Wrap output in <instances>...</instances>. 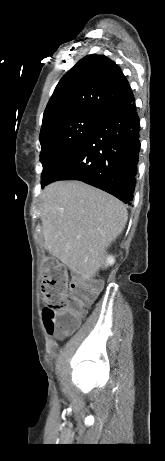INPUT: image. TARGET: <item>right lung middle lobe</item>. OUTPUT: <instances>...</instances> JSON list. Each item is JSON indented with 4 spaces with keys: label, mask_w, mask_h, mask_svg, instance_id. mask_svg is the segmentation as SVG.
I'll use <instances>...</instances> for the list:
<instances>
[{
    "label": "right lung middle lobe",
    "mask_w": 165,
    "mask_h": 461,
    "mask_svg": "<svg viewBox=\"0 0 165 461\" xmlns=\"http://www.w3.org/2000/svg\"><path fill=\"white\" fill-rule=\"evenodd\" d=\"M102 119L78 116L59 119L40 133V161L43 165L41 186L51 178L60 165L85 141Z\"/></svg>",
    "instance_id": "obj_1"
}]
</instances>
